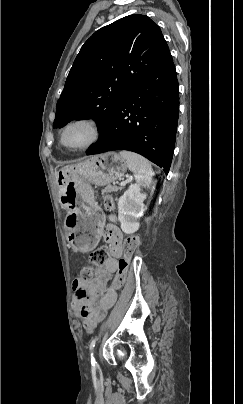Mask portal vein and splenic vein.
I'll return each instance as SVG.
<instances>
[{
    "label": "portal vein and splenic vein",
    "mask_w": 243,
    "mask_h": 404,
    "mask_svg": "<svg viewBox=\"0 0 243 404\" xmlns=\"http://www.w3.org/2000/svg\"><path fill=\"white\" fill-rule=\"evenodd\" d=\"M133 183L132 175H129L128 179H125L124 182H121L120 186H129Z\"/></svg>",
    "instance_id": "18ae733b"
}]
</instances>
